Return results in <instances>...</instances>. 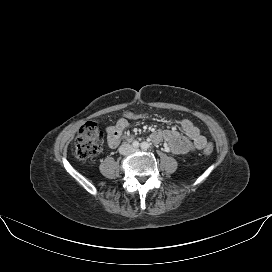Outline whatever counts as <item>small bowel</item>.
<instances>
[{
  "instance_id": "small-bowel-1",
  "label": "small bowel",
  "mask_w": 272,
  "mask_h": 272,
  "mask_svg": "<svg viewBox=\"0 0 272 272\" xmlns=\"http://www.w3.org/2000/svg\"><path fill=\"white\" fill-rule=\"evenodd\" d=\"M129 122L125 118L119 119L114 125L107 128L108 142L115 147L120 142L121 133L128 127ZM182 132L177 130L155 131L151 138L154 142H166L168 149L177 155L191 154L195 150H202L207 139L201 135L200 130L189 119L178 121Z\"/></svg>"
}]
</instances>
